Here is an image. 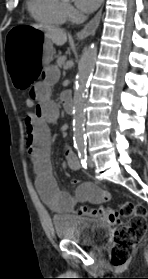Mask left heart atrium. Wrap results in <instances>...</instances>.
Wrapping results in <instances>:
<instances>
[{
  "label": "left heart atrium",
  "instance_id": "39dd6f15",
  "mask_svg": "<svg viewBox=\"0 0 148 279\" xmlns=\"http://www.w3.org/2000/svg\"><path fill=\"white\" fill-rule=\"evenodd\" d=\"M102 0H75L76 6L83 12L89 13L94 11Z\"/></svg>",
  "mask_w": 148,
  "mask_h": 279
}]
</instances>
